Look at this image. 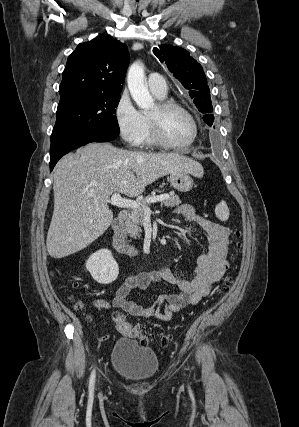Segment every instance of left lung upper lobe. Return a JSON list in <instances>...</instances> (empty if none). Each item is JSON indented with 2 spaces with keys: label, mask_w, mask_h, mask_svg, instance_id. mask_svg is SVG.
Masks as SVG:
<instances>
[{
  "label": "left lung upper lobe",
  "mask_w": 299,
  "mask_h": 427,
  "mask_svg": "<svg viewBox=\"0 0 299 427\" xmlns=\"http://www.w3.org/2000/svg\"><path fill=\"white\" fill-rule=\"evenodd\" d=\"M156 56L165 62L182 85L189 90L198 110L204 114L203 120L211 126L214 121L210 89L202 66L183 48L171 45H160Z\"/></svg>",
  "instance_id": "left-lung-upper-lobe-1"
}]
</instances>
